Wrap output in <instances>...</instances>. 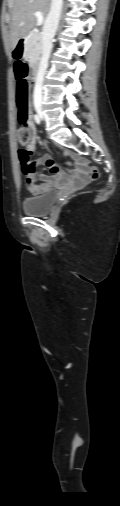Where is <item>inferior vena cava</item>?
<instances>
[{"instance_id":"inferior-vena-cava-1","label":"inferior vena cava","mask_w":120,"mask_h":506,"mask_svg":"<svg viewBox=\"0 0 120 506\" xmlns=\"http://www.w3.org/2000/svg\"><path fill=\"white\" fill-rule=\"evenodd\" d=\"M62 6L63 0H51L50 11L44 22L42 32V58L40 61L37 81L34 88V102L41 103L42 101L43 79L48 67V61L52 50V42L58 28Z\"/></svg>"}]
</instances>
